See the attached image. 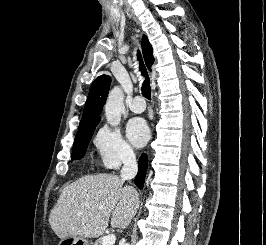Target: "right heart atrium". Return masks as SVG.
<instances>
[{
  "mask_svg": "<svg viewBox=\"0 0 266 245\" xmlns=\"http://www.w3.org/2000/svg\"><path fill=\"white\" fill-rule=\"evenodd\" d=\"M92 141L100 163L106 170H116L121 165L135 160L133 148L126 142L117 127L107 124L99 126Z\"/></svg>",
  "mask_w": 266,
  "mask_h": 245,
  "instance_id": "1",
  "label": "right heart atrium"
}]
</instances>
